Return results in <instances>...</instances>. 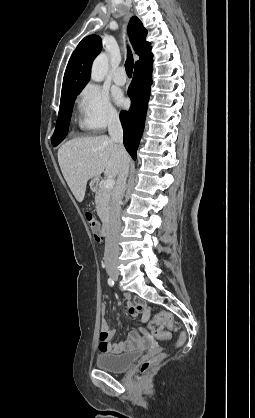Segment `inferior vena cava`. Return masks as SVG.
<instances>
[{
    "instance_id": "obj_1",
    "label": "inferior vena cava",
    "mask_w": 255,
    "mask_h": 418,
    "mask_svg": "<svg viewBox=\"0 0 255 418\" xmlns=\"http://www.w3.org/2000/svg\"><path fill=\"white\" fill-rule=\"evenodd\" d=\"M108 132L110 139L120 146L124 156L121 159L117 183L112 193L111 212L105 239L104 260L106 262L117 260L119 255L118 237L121 230V200L124 196L126 180L129 173V161L125 155L126 151L123 147V129L117 113H111L108 117Z\"/></svg>"
}]
</instances>
